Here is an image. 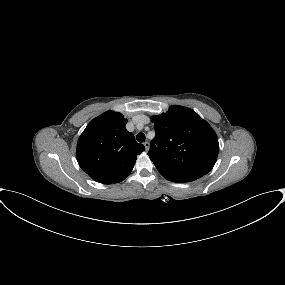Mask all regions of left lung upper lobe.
Listing matches in <instances>:
<instances>
[{"instance_id": "5c2ea615", "label": "left lung upper lobe", "mask_w": 285, "mask_h": 285, "mask_svg": "<svg viewBox=\"0 0 285 285\" xmlns=\"http://www.w3.org/2000/svg\"><path fill=\"white\" fill-rule=\"evenodd\" d=\"M152 122L156 137L148 155L164 178L190 182L212 170L219 152L218 138L194 110L172 105L166 113L153 116Z\"/></svg>"}]
</instances>
